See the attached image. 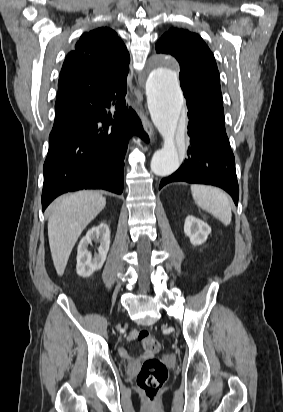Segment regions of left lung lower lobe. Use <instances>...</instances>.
<instances>
[{
    "label": "left lung lower lobe",
    "instance_id": "left-lung-lower-lobe-1",
    "mask_svg": "<svg viewBox=\"0 0 283 412\" xmlns=\"http://www.w3.org/2000/svg\"><path fill=\"white\" fill-rule=\"evenodd\" d=\"M190 146L187 159L172 175L160 182L159 189L172 182L218 186L238 204L239 187L235 159L225 131L224 117L209 115L196 104L187 103Z\"/></svg>",
    "mask_w": 283,
    "mask_h": 412
}]
</instances>
